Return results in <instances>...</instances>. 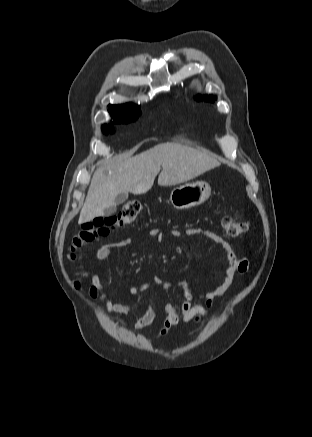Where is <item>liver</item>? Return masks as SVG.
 <instances>
[{
    "instance_id": "6515ba94",
    "label": "liver",
    "mask_w": 312,
    "mask_h": 437,
    "mask_svg": "<svg viewBox=\"0 0 312 437\" xmlns=\"http://www.w3.org/2000/svg\"><path fill=\"white\" fill-rule=\"evenodd\" d=\"M161 166L158 184L172 186L198 177L220 166V162L205 150L174 142L158 144L117 163L102 160L91 179L79 223L101 216L122 192L137 195L148 192Z\"/></svg>"
}]
</instances>
